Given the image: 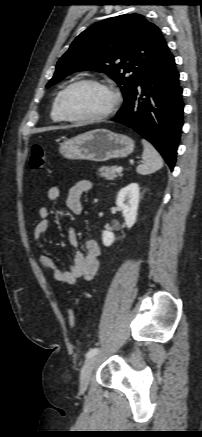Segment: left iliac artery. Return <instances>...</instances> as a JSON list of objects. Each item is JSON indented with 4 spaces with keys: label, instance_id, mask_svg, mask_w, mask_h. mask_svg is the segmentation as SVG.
Listing matches in <instances>:
<instances>
[{
    "label": "left iliac artery",
    "instance_id": "obj_1",
    "mask_svg": "<svg viewBox=\"0 0 202 437\" xmlns=\"http://www.w3.org/2000/svg\"><path fill=\"white\" fill-rule=\"evenodd\" d=\"M99 349L98 348H92L90 349L87 354H86V358L89 359L92 356L96 355L98 353Z\"/></svg>",
    "mask_w": 202,
    "mask_h": 437
}]
</instances>
